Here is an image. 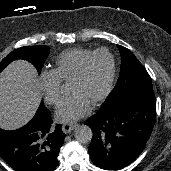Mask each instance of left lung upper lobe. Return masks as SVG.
<instances>
[{
	"mask_svg": "<svg viewBox=\"0 0 171 171\" xmlns=\"http://www.w3.org/2000/svg\"><path fill=\"white\" fill-rule=\"evenodd\" d=\"M121 54V70L116 86L100 112L117 103L134 97L155 99L151 78L135 55L127 48L117 45Z\"/></svg>",
	"mask_w": 171,
	"mask_h": 171,
	"instance_id": "left-lung-upper-lobe-1",
	"label": "left lung upper lobe"
}]
</instances>
